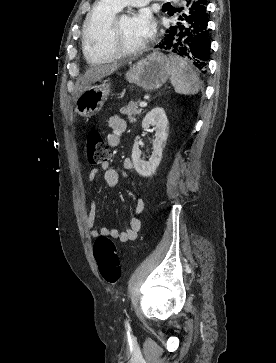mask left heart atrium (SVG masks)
Instances as JSON below:
<instances>
[{"instance_id":"39dd6f15","label":"left heart atrium","mask_w":276,"mask_h":363,"mask_svg":"<svg viewBox=\"0 0 276 363\" xmlns=\"http://www.w3.org/2000/svg\"><path fill=\"white\" fill-rule=\"evenodd\" d=\"M135 22L141 34L146 38H150L156 28V22L148 11H141L135 17Z\"/></svg>"}]
</instances>
